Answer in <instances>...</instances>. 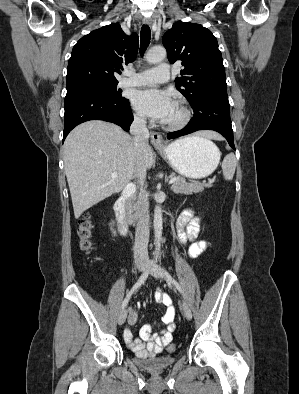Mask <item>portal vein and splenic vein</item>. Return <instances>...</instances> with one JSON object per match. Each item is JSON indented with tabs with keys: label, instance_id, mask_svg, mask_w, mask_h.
Wrapping results in <instances>:
<instances>
[{
	"label": "portal vein and splenic vein",
	"instance_id": "portal-vein-and-splenic-vein-1",
	"mask_svg": "<svg viewBox=\"0 0 299 394\" xmlns=\"http://www.w3.org/2000/svg\"><path fill=\"white\" fill-rule=\"evenodd\" d=\"M117 172H114L113 174H112V176L113 177H117ZM177 181V178H172L170 181H169V184H172V183H174V182H176Z\"/></svg>",
	"mask_w": 299,
	"mask_h": 394
}]
</instances>
